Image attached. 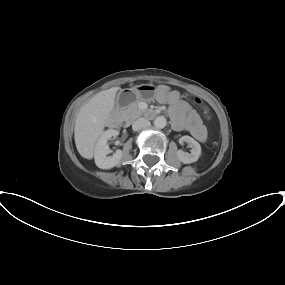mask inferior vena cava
<instances>
[{
	"instance_id": "inferior-vena-cava-1",
	"label": "inferior vena cava",
	"mask_w": 285,
	"mask_h": 285,
	"mask_svg": "<svg viewBox=\"0 0 285 285\" xmlns=\"http://www.w3.org/2000/svg\"><path fill=\"white\" fill-rule=\"evenodd\" d=\"M150 126V122L145 118H139L133 122L132 129L134 131H138L143 128H147Z\"/></svg>"
}]
</instances>
